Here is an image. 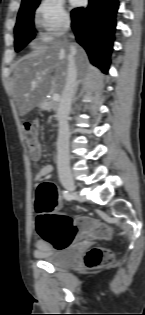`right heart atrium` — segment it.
Returning <instances> with one entry per match:
<instances>
[{
  "instance_id": "obj_1",
  "label": "right heart atrium",
  "mask_w": 145,
  "mask_h": 315,
  "mask_svg": "<svg viewBox=\"0 0 145 315\" xmlns=\"http://www.w3.org/2000/svg\"><path fill=\"white\" fill-rule=\"evenodd\" d=\"M35 23L50 36H59L70 27V17L62 0H40L35 10Z\"/></svg>"
}]
</instances>
